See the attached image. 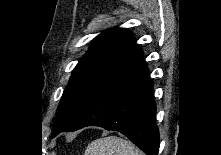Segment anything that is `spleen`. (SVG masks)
Wrapping results in <instances>:
<instances>
[{
  "mask_svg": "<svg viewBox=\"0 0 221 155\" xmlns=\"http://www.w3.org/2000/svg\"><path fill=\"white\" fill-rule=\"evenodd\" d=\"M84 155H143L130 141L108 136L90 143Z\"/></svg>",
  "mask_w": 221,
  "mask_h": 155,
  "instance_id": "obj_1",
  "label": "spleen"
}]
</instances>
